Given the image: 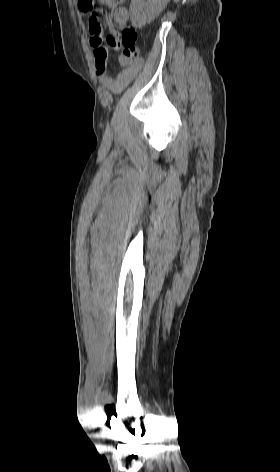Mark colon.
Returning <instances> with one entry per match:
<instances>
[{
  "instance_id": "1",
  "label": "colon",
  "mask_w": 280,
  "mask_h": 472,
  "mask_svg": "<svg viewBox=\"0 0 280 472\" xmlns=\"http://www.w3.org/2000/svg\"><path fill=\"white\" fill-rule=\"evenodd\" d=\"M120 0H118L119 2ZM83 6L90 11L93 9V0H86L82 1ZM98 13L93 12L90 17V22L95 24L98 22ZM137 41V32L133 27H126L123 29L122 33L120 34V44L123 47V54L126 57L134 58L138 56V50L136 47Z\"/></svg>"
}]
</instances>
